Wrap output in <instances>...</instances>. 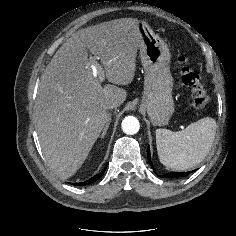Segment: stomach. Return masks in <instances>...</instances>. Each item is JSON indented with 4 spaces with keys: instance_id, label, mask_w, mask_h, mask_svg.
<instances>
[{
    "instance_id": "obj_1",
    "label": "stomach",
    "mask_w": 236,
    "mask_h": 236,
    "mask_svg": "<svg viewBox=\"0 0 236 236\" xmlns=\"http://www.w3.org/2000/svg\"><path fill=\"white\" fill-rule=\"evenodd\" d=\"M140 59L144 68V92L140 107L147 112L154 126L167 125L174 113L171 55L167 44L149 26L139 21Z\"/></svg>"
}]
</instances>
